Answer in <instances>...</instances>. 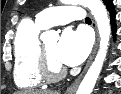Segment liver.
<instances>
[{
    "label": "liver",
    "instance_id": "6515ba94",
    "mask_svg": "<svg viewBox=\"0 0 121 94\" xmlns=\"http://www.w3.org/2000/svg\"><path fill=\"white\" fill-rule=\"evenodd\" d=\"M17 94H60V92L52 90H35V91H21Z\"/></svg>",
    "mask_w": 121,
    "mask_h": 94
}]
</instances>
